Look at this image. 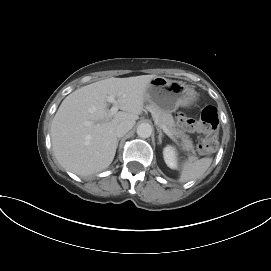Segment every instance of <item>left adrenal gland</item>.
Here are the masks:
<instances>
[{"instance_id":"1","label":"left adrenal gland","mask_w":271,"mask_h":271,"mask_svg":"<svg viewBox=\"0 0 271 271\" xmlns=\"http://www.w3.org/2000/svg\"><path fill=\"white\" fill-rule=\"evenodd\" d=\"M159 135H158V144H162V137H163V133L158 129L157 130Z\"/></svg>"}]
</instances>
